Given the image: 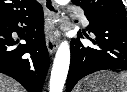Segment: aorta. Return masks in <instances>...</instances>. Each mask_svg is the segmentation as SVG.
Instances as JSON below:
<instances>
[{
	"mask_svg": "<svg viewBox=\"0 0 127 92\" xmlns=\"http://www.w3.org/2000/svg\"><path fill=\"white\" fill-rule=\"evenodd\" d=\"M59 5L68 4L69 0H56ZM70 65V47L67 41H63L55 55L51 77H50V91L62 92L67 78Z\"/></svg>",
	"mask_w": 127,
	"mask_h": 92,
	"instance_id": "762f6f07",
	"label": "aorta"
}]
</instances>
